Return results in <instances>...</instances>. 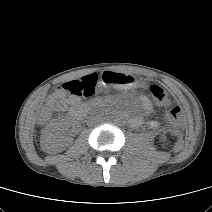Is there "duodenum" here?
<instances>
[{"mask_svg":"<svg viewBox=\"0 0 212 212\" xmlns=\"http://www.w3.org/2000/svg\"><path fill=\"white\" fill-rule=\"evenodd\" d=\"M89 110H90V106L85 104H77L72 107L71 116L75 120H80L87 114Z\"/></svg>","mask_w":212,"mask_h":212,"instance_id":"1","label":"duodenum"}]
</instances>
